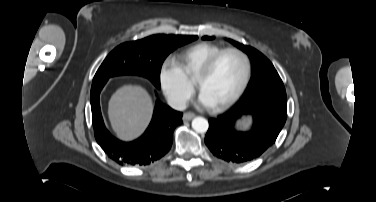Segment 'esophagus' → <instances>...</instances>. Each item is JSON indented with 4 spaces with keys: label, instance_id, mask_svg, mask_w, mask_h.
Segmentation results:
<instances>
[{
    "label": "esophagus",
    "instance_id": "34e87169",
    "mask_svg": "<svg viewBox=\"0 0 376 202\" xmlns=\"http://www.w3.org/2000/svg\"><path fill=\"white\" fill-rule=\"evenodd\" d=\"M194 117H195V114H194V113L186 112V113H184V115H183V120H184V121H189V120L193 119Z\"/></svg>",
    "mask_w": 376,
    "mask_h": 202
}]
</instances>
